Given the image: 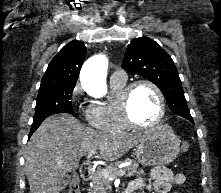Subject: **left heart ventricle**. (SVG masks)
<instances>
[{"label": "left heart ventricle", "instance_id": "b2bd125f", "mask_svg": "<svg viewBox=\"0 0 221 193\" xmlns=\"http://www.w3.org/2000/svg\"><path fill=\"white\" fill-rule=\"evenodd\" d=\"M130 110L138 123H152L159 113V100L153 89L146 85L137 86L132 93Z\"/></svg>", "mask_w": 221, "mask_h": 193}]
</instances>
